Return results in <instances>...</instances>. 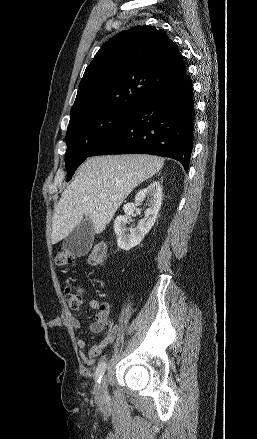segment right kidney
Here are the masks:
<instances>
[{
	"instance_id": "ca27d5eb",
	"label": "right kidney",
	"mask_w": 257,
	"mask_h": 439,
	"mask_svg": "<svg viewBox=\"0 0 257 439\" xmlns=\"http://www.w3.org/2000/svg\"><path fill=\"white\" fill-rule=\"evenodd\" d=\"M146 199L148 209L145 211V217L140 220L135 229L127 232L126 223L136 207ZM162 188L159 181H153L146 188L141 189L135 196L134 203L124 205V216H117L114 221V232L117 236V245L123 250H130L140 244L145 235L150 231L156 222L158 212L161 208Z\"/></svg>"
}]
</instances>
